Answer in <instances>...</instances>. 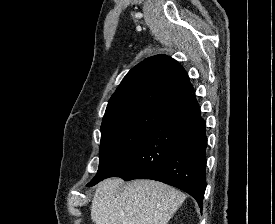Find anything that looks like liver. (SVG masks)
<instances>
[{
	"label": "liver",
	"instance_id": "liver-1",
	"mask_svg": "<svg viewBox=\"0 0 275 224\" xmlns=\"http://www.w3.org/2000/svg\"><path fill=\"white\" fill-rule=\"evenodd\" d=\"M185 199L181 191L161 182L105 179L96 188L91 219L95 224H167Z\"/></svg>",
	"mask_w": 275,
	"mask_h": 224
}]
</instances>
